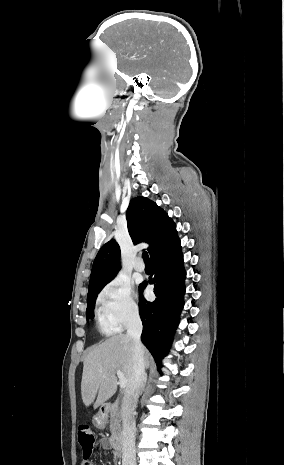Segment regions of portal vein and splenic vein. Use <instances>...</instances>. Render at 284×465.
<instances>
[{
	"label": "portal vein and splenic vein",
	"instance_id": "portal-vein-and-splenic-vein-1",
	"mask_svg": "<svg viewBox=\"0 0 284 465\" xmlns=\"http://www.w3.org/2000/svg\"><path fill=\"white\" fill-rule=\"evenodd\" d=\"M116 375L120 381V389H125L126 385H127V381L122 373V371H119V369H117L116 371Z\"/></svg>",
	"mask_w": 284,
	"mask_h": 465
}]
</instances>
